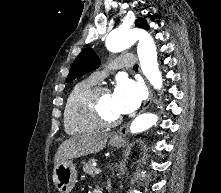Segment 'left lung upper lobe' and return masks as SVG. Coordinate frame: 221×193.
Returning a JSON list of instances; mask_svg holds the SVG:
<instances>
[{
  "label": "left lung upper lobe",
  "instance_id": "obj_1",
  "mask_svg": "<svg viewBox=\"0 0 221 193\" xmlns=\"http://www.w3.org/2000/svg\"><path fill=\"white\" fill-rule=\"evenodd\" d=\"M135 25L144 29H149L143 18L136 20ZM100 60L91 48L84 49L75 59L67 77V82L74 80L99 67Z\"/></svg>",
  "mask_w": 221,
  "mask_h": 193
}]
</instances>
